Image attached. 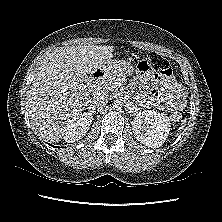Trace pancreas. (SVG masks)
I'll return each mask as SVG.
<instances>
[{
    "mask_svg": "<svg viewBox=\"0 0 222 222\" xmlns=\"http://www.w3.org/2000/svg\"><path fill=\"white\" fill-rule=\"evenodd\" d=\"M120 74L118 72L116 73H112L111 75H109L104 84L101 86V92L108 96L111 94L114 95L117 93V88L116 86L114 85L115 82L119 81L120 80Z\"/></svg>",
    "mask_w": 222,
    "mask_h": 222,
    "instance_id": "cf45deb5",
    "label": "pancreas"
}]
</instances>
